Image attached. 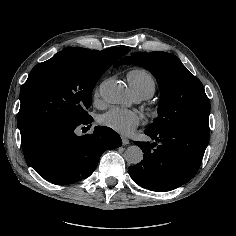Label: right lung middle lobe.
Masks as SVG:
<instances>
[{"label": "right lung middle lobe", "mask_w": 236, "mask_h": 236, "mask_svg": "<svg viewBox=\"0 0 236 236\" xmlns=\"http://www.w3.org/2000/svg\"><path fill=\"white\" fill-rule=\"evenodd\" d=\"M112 63L91 50L71 47L36 65L20 92L18 125L21 139L54 123L80 124L98 79Z\"/></svg>", "instance_id": "right-lung-middle-lobe-1"}]
</instances>
